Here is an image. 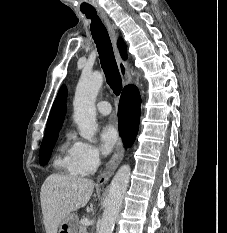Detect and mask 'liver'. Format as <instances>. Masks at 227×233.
Returning a JSON list of instances; mask_svg holds the SVG:
<instances>
[{
    "label": "liver",
    "mask_w": 227,
    "mask_h": 233,
    "mask_svg": "<svg viewBox=\"0 0 227 233\" xmlns=\"http://www.w3.org/2000/svg\"><path fill=\"white\" fill-rule=\"evenodd\" d=\"M94 190L90 179L49 175L41 187L40 200L46 233H57L61 222L72 212L84 207Z\"/></svg>",
    "instance_id": "liver-1"
}]
</instances>
